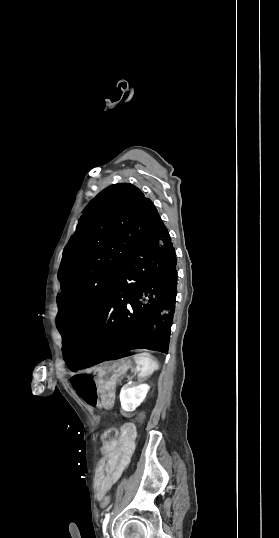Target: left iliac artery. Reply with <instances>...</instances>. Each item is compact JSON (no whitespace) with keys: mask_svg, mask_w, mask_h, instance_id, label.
Wrapping results in <instances>:
<instances>
[{"mask_svg":"<svg viewBox=\"0 0 279 538\" xmlns=\"http://www.w3.org/2000/svg\"><path fill=\"white\" fill-rule=\"evenodd\" d=\"M109 518H110V513L106 514L104 520H103V533H104V536L107 535L106 533V529H107V524L109 522Z\"/></svg>","mask_w":279,"mask_h":538,"instance_id":"left-iliac-artery-1","label":"left iliac artery"}]
</instances>
